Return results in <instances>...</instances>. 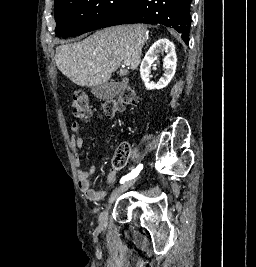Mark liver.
I'll return each mask as SVG.
<instances>
[{
    "mask_svg": "<svg viewBox=\"0 0 256 267\" xmlns=\"http://www.w3.org/2000/svg\"><path fill=\"white\" fill-rule=\"evenodd\" d=\"M146 32L144 24L105 28L83 42L58 46L56 66L78 86L104 84L120 66L130 64L131 70H137L147 38ZM117 74L127 76L129 70L121 68Z\"/></svg>",
    "mask_w": 256,
    "mask_h": 267,
    "instance_id": "6515ba94",
    "label": "liver"
}]
</instances>
